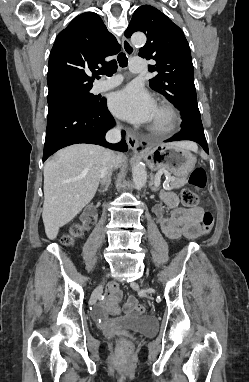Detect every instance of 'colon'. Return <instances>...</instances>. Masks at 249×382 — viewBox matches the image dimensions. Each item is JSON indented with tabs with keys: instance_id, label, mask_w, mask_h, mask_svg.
<instances>
[{
	"instance_id": "obj_1",
	"label": "colon",
	"mask_w": 249,
	"mask_h": 382,
	"mask_svg": "<svg viewBox=\"0 0 249 382\" xmlns=\"http://www.w3.org/2000/svg\"><path fill=\"white\" fill-rule=\"evenodd\" d=\"M189 183L197 188L202 189L206 186L207 175L203 168L196 167L190 174ZM181 200L185 207H194L198 203L197 195L190 189H184L181 194ZM214 224L213 216L210 212L206 211L203 215L202 226L203 233L207 234L212 230ZM84 226L82 224L75 225L69 236L63 239L65 245H71L74 240L83 234ZM134 312L137 314H143L145 312V307L141 304H136L133 308ZM120 350L122 354H128L131 351V343L126 338H121L119 341Z\"/></svg>"
}]
</instances>
